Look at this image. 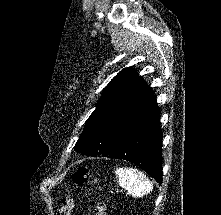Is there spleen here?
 Listing matches in <instances>:
<instances>
[{
	"label": "spleen",
	"mask_w": 221,
	"mask_h": 215,
	"mask_svg": "<svg viewBox=\"0 0 221 215\" xmlns=\"http://www.w3.org/2000/svg\"><path fill=\"white\" fill-rule=\"evenodd\" d=\"M119 185L134 197H143L149 194L153 185L143 172L132 167H120L115 171Z\"/></svg>",
	"instance_id": "1"
}]
</instances>
